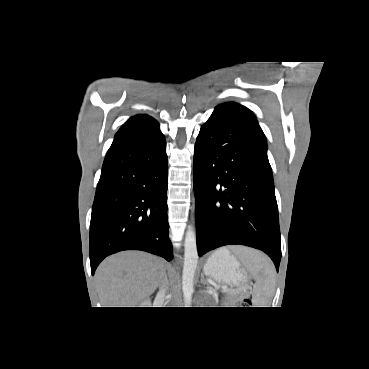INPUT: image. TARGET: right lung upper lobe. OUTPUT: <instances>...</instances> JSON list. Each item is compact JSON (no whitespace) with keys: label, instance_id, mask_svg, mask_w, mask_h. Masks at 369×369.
<instances>
[{"label":"right lung upper lobe","instance_id":"right-lung-upper-lobe-1","mask_svg":"<svg viewBox=\"0 0 369 369\" xmlns=\"http://www.w3.org/2000/svg\"><path fill=\"white\" fill-rule=\"evenodd\" d=\"M159 129L158 122L148 115H136L131 117L116 133L114 141L116 144L121 141L132 139Z\"/></svg>","mask_w":369,"mask_h":369}]
</instances>
